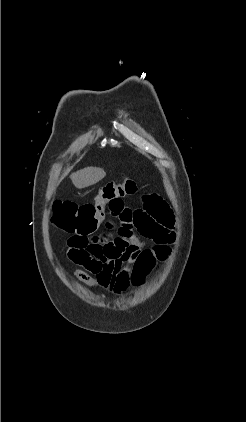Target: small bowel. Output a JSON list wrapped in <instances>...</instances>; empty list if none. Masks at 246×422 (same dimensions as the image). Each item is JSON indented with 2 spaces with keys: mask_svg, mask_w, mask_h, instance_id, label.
<instances>
[{
  "mask_svg": "<svg viewBox=\"0 0 246 422\" xmlns=\"http://www.w3.org/2000/svg\"><path fill=\"white\" fill-rule=\"evenodd\" d=\"M109 216L111 220L104 222L105 227L112 231L118 224L115 236L75 234L68 240L67 257L79 266L72 271L79 281L121 295L132 285L135 257L146 249L136 231L152 240L154 248L169 252L168 244L175 239L174 217L167 203L156 194L146 195L141 209L131 210L123 204L119 210L111 209Z\"/></svg>",
  "mask_w": 246,
  "mask_h": 422,
  "instance_id": "obj_1",
  "label": "small bowel"
}]
</instances>
